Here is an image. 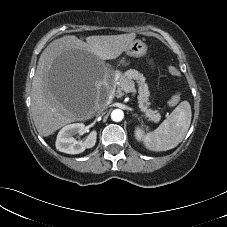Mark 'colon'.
<instances>
[{"instance_id":"1","label":"colon","mask_w":227,"mask_h":227,"mask_svg":"<svg viewBox=\"0 0 227 227\" xmlns=\"http://www.w3.org/2000/svg\"><path fill=\"white\" fill-rule=\"evenodd\" d=\"M169 73L171 75H174V76H178L179 75V71L178 69H176L175 67H170L169 68ZM180 100V96L179 95H174L171 99H170V105L174 106L176 105Z\"/></svg>"}]
</instances>
